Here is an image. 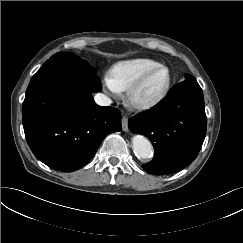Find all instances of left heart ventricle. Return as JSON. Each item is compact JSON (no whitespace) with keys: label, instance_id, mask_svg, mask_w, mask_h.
Masks as SVG:
<instances>
[{"label":"left heart ventricle","instance_id":"b2bd125f","mask_svg":"<svg viewBox=\"0 0 243 243\" xmlns=\"http://www.w3.org/2000/svg\"><path fill=\"white\" fill-rule=\"evenodd\" d=\"M166 79L165 71L155 72L145 83L139 92V97L146 98L155 94L163 85Z\"/></svg>","mask_w":243,"mask_h":243}]
</instances>
